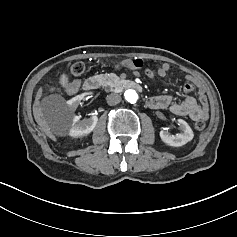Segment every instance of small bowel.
<instances>
[{"label":"small bowel","mask_w":237,"mask_h":237,"mask_svg":"<svg viewBox=\"0 0 237 237\" xmlns=\"http://www.w3.org/2000/svg\"><path fill=\"white\" fill-rule=\"evenodd\" d=\"M132 60H125L121 63L123 67L132 68ZM170 70V65L168 63H163L157 69V74L164 77L168 74ZM186 82L183 85V92L186 95L182 102H177L173 96L170 95H159L150 97L146 104L152 109H169L175 115L178 116H188L194 121L205 120L208 118V101L207 97L202 89L199 91V102L194 98L191 93L194 91V78L192 75L187 74ZM79 82L77 80L66 84L63 90L69 94L73 95L79 90Z\"/></svg>","instance_id":"small-bowel-1"}]
</instances>
